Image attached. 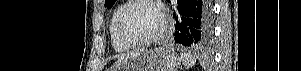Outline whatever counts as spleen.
I'll return each instance as SVG.
<instances>
[{
  "label": "spleen",
  "instance_id": "1",
  "mask_svg": "<svg viewBox=\"0 0 301 71\" xmlns=\"http://www.w3.org/2000/svg\"><path fill=\"white\" fill-rule=\"evenodd\" d=\"M181 61L184 66H186L187 68H190V67L194 66L196 59L193 55H191L189 53H181Z\"/></svg>",
  "mask_w": 301,
  "mask_h": 71
}]
</instances>
